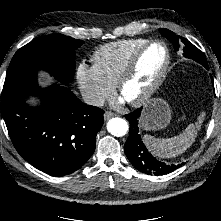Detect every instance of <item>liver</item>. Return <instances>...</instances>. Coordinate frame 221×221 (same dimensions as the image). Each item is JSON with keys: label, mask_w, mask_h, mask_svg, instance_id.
Here are the masks:
<instances>
[{"label": "liver", "mask_w": 221, "mask_h": 221, "mask_svg": "<svg viewBox=\"0 0 221 221\" xmlns=\"http://www.w3.org/2000/svg\"><path fill=\"white\" fill-rule=\"evenodd\" d=\"M43 79L45 80L44 83L49 82L50 79H48L45 75H42Z\"/></svg>", "instance_id": "6515ba94"}]
</instances>
